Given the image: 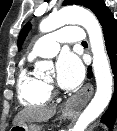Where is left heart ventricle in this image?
I'll return each mask as SVG.
<instances>
[{
	"instance_id": "b2bd125f",
	"label": "left heart ventricle",
	"mask_w": 117,
	"mask_h": 131,
	"mask_svg": "<svg viewBox=\"0 0 117 131\" xmlns=\"http://www.w3.org/2000/svg\"><path fill=\"white\" fill-rule=\"evenodd\" d=\"M48 80L52 81L53 80V76H51L50 78H48Z\"/></svg>"
}]
</instances>
